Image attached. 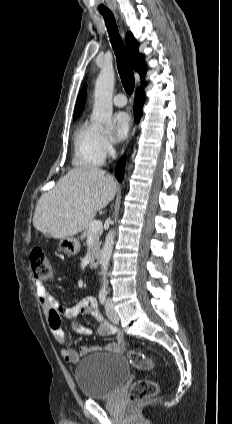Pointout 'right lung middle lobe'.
<instances>
[{"instance_id": "obj_1", "label": "right lung middle lobe", "mask_w": 232, "mask_h": 424, "mask_svg": "<svg viewBox=\"0 0 232 424\" xmlns=\"http://www.w3.org/2000/svg\"><path fill=\"white\" fill-rule=\"evenodd\" d=\"M79 116H74V119H77Z\"/></svg>"}]
</instances>
